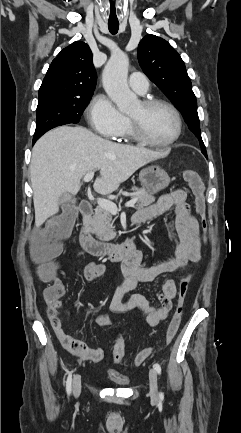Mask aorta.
Instances as JSON below:
<instances>
[{"label":"aorta","instance_id":"obj_1","mask_svg":"<svg viewBox=\"0 0 241 433\" xmlns=\"http://www.w3.org/2000/svg\"><path fill=\"white\" fill-rule=\"evenodd\" d=\"M128 67V56L117 52L111 55L102 75L107 95L123 113L129 112L139 102L127 84Z\"/></svg>","mask_w":241,"mask_h":433}]
</instances>
